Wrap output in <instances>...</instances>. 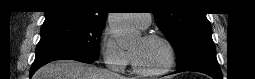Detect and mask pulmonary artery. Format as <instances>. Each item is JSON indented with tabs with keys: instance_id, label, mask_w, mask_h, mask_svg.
I'll use <instances>...</instances> for the list:
<instances>
[{
	"instance_id": "obj_1",
	"label": "pulmonary artery",
	"mask_w": 255,
	"mask_h": 79,
	"mask_svg": "<svg viewBox=\"0 0 255 79\" xmlns=\"http://www.w3.org/2000/svg\"><path fill=\"white\" fill-rule=\"evenodd\" d=\"M133 22L141 29H146L151 23V14H132Z\"/></svg>"
}]
</instances>
